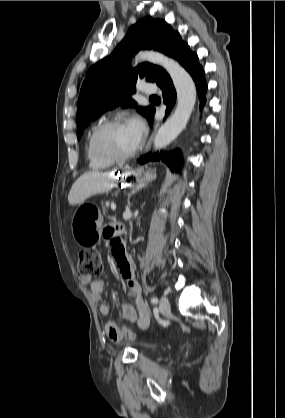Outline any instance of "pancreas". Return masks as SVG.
Segmentation results:
<instances>
[{
	"label": "pancreas",
	"mask_w": 285,
	"mask_h": 418,
	"mask_svg": "<svg viewBox=\"0 0 285 418\" xmlns=\"http://www.w3.org/2000/svg\"><path fill=\"white\" fill-rule=\"evenodd\" d=\"M108 207H109V202H102V208H103V210L108 209Z\"/></svg>",
	"instance_id": "cf45deb5"
}]
</instances>
